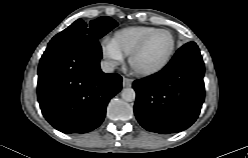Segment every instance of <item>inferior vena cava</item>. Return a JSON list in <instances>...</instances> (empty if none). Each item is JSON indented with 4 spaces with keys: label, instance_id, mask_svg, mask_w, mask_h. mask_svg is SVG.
Wrapping results in <instances>:
<instances>
[{
    "label": "inferior vena cava",
    "instance_id": "602c4592",
    "mask_svg": "<svg viewBox=\"0 0 248 158\" xmlns=\"http://www.w3.org/2000/svg\"><path fill=\"white\" fill-rule=\"evenodd\" d=\"M115 64L112 61H101V70L105 73H112L114 71Z\"/></svg>",
    "mask_w": 248,
    "mask_h": 158
}]
</instances>
